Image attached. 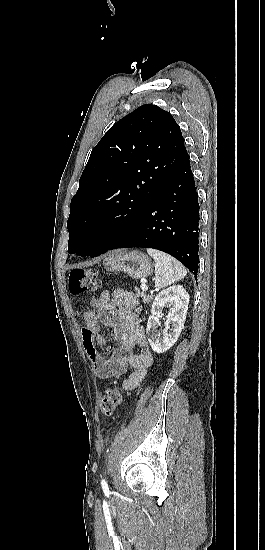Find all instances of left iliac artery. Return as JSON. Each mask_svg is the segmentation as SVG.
I'll use <instances>...</instances> for the list:
<instances>
[{"mask_svg": "<svg viewBox=\"0 0 265 550\" xmlns=\"http://www.w3.org/2000/svg\"><path fill=\"white\" fill-rule=\"evenodd\" d=\"M101 484H102V485H105V484H106V482H105L104 479H102Z\"/></svg>", "mask_w": 265, "mask_h": 550, "instance_id": "left-iliac-artery-1", "label": "left iliac artery"}]
</instances>
